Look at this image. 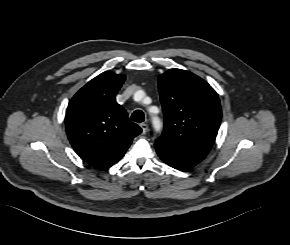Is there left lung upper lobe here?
<instances>
[{
    "label": "left lung upper lobe",
    "mask_w": 290,
    "mask_h": 245,
    "mask_svg": "<svg viewBox=\"0 0 290 245\" xmlns=\"http://www.w3.org/2000/svg\"><path fill=\"white\" fill-rule=\"evenodd\" d=\"M164 131L155 145L199 163L211 149L221 123L217 93L202 78L170 69L158 78Z\"/></svg>",
    "instance_id": "left-lung-upper-lobe-1"
}]
</instances>
